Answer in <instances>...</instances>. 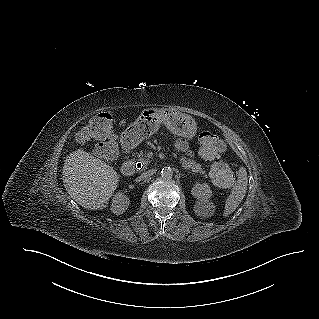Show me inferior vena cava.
Returning <instances> with one entry per match:
<instances>
[{"instance_id":"obj_1","label":"inferior vena cava","mask_w":319,"mask_h":319,"mask_svg":"<svg viewBox=\"0 0 319 319\" xmlns=\"http://www.w3.org/2000/svg\"><path fill=\"white\" fill-rule=\"evenodd\" d=\"M154 173H155L154 170H148V171L142 173L141 176H140V178H142V179L149 178V177L152 176Z\"/></svg>"}]
</instances>
